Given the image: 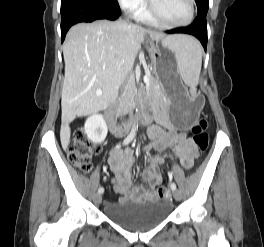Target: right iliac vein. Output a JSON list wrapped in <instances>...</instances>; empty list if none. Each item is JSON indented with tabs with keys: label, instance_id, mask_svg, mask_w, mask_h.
<instances>
[{
	"label": "right iliac vein",
	"instance_id": "obj_1",
	"mask_svg": "<svg viewBox=\"0 0 264 247\" xmlns=\"http://www.w3.org/2000/svg\"><path fill=\"white\" fill-rule=\"evenodd\" d=\"M93 199H94V202L96 204H99L101 202V200H102V196H101L100 193H97V194L94 195V198Z\"/></svg>",
	"mask_w": 264,
	"mask_h": 247
}]
</instances>
